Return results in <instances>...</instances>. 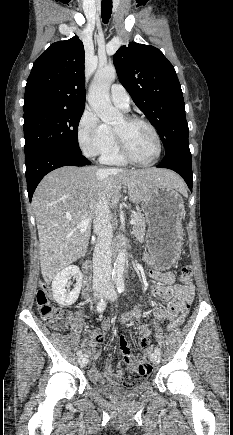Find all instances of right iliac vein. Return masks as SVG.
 I'll return each mask as SVG.
<instances>
[{
	"label": "right iliac vein",
	"mask_w": 233,
	"mask_h": 435,
	"mask_svg": "<svg viewBox=\"0 0 233 435\" xmlns=\"http://www.w3.org/2000/svg\"><path fill=\"white\" fill-rule=\"evenodd\" d=\"M103 294H104V290L101 289V290H99V291L96 293V297H97V298H101V297L103 296ZM88 360H89V359H88V356H87L86 354H83V355H81V356L79 357V364H80L82 367H84V366L87 365Z\"/></svg>",
	"instance_id": "1"
}]
</instances>
